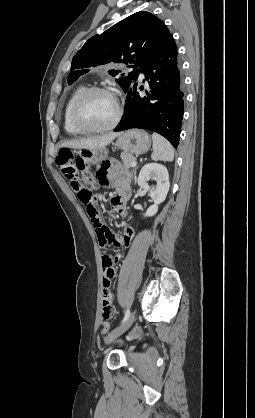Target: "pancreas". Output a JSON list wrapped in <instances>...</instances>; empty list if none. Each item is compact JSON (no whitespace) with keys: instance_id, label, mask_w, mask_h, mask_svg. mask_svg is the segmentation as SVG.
<instances>
[{"instance_id":"1","label":"pancreas","mask_w":255,"mask_h":418,"mask_svg":"<svg viewBox=\"0 0 255 418\" xmlns=\"http://www.w3.org/2000/svg\"><path fill=\"white\" fill-rule=\"evenodd\" d=\"M121 160L123 162V166L124 168H129L131 166V163L133 161H136V157H134L131 154H127V153H122L121 154Z\"/></svg>"}]
</instances>
